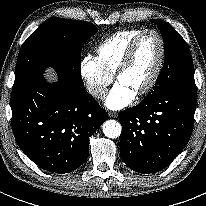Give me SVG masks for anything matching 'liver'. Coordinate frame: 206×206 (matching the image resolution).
<instances>
[{
    "mask_svg": "<svg viewBox=\"0 0 206 206\" xmlns=\"http://www.w3.org/2000/svg\"><path fill=\"white\" fill-rule=\"evenodd\" d=\"M45 77L49 80V81H55L57 79L56 73L54 72V70L48 68L46 70V74Z\"/></svg>",
    "mask_w": 206,
    "mask_h": 206,
    "instance_id": "liver-1",
    "label": "liver"
}]
</instances>
